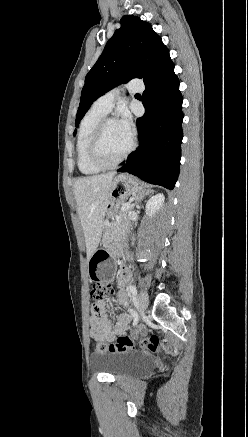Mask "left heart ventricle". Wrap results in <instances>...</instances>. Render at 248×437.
<instances>
[{
  "instance_id": "b2bd125f",
  "label": "left heart ventricle",
  "mask_w": 248,
  "mask_h": 437,
  "mask_svg": "<svg viewBox=\"0 0 248 437\" xmlns=\"http://www.w3.org/2000/svg\"><path fill=\"white\" fill-rule=\"evenodd\" d=\"M131 139L120 129L117 121L107 124L100 146V153L107 162L117 159L129 146Z\"/></svg>"
}]
</instances>
